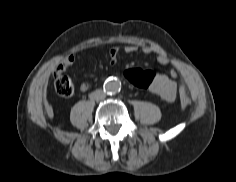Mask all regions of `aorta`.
I'll return each mask as SVG.
<instances>
[{
  "label": "aorta",
  "mask_w": 236,
  "mask_h": 182,
  "mask_svg": "<svg viewBox=\"0 0 236 182\" xmlns=\"http://www.w3.org/2000/svg\"><path fill=\"white\" fill-rule=\"evenodd\" d=\"M105 89L109 92H117L120 89V83L117 80H110L105 83Z\"/></svg>",
  "instance_id": "1"
}]
</instances>
